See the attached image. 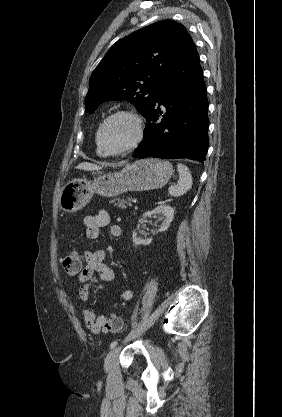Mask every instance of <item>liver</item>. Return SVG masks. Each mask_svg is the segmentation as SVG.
Returning <instances> with one entry per match:
<instances>
[{"label": "liver", "instance_id": "obj_1", "mask_svg": "<svg viewBox=\"0 0 282 417\" xmlns=\"http://www.w3.org/2000/svg\"><path fill=\"white\" fill-rule=\"evenodd\" d=\"M75 168H80V170H100L102 166H99V164H92V162H80Z\"/></svg>", "mask_w": 282, "mask_h": 417}]
</instances>
